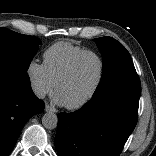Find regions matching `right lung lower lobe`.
I'll use <instances>...</instances> for the list:
<instances>
[{"label": "right lung lower lobe", "instance_id": "obj_1", "mask_svg": "<svg viewBox=\"0 0 156 156\" xmlns=\"http://www.w3.org/2000/svg\"><path fill=\"white\" fill-rule=\"evenodd\" d=\"M44 109L33 93L30 80L0 74V156L13 149L25 123Z\"/></svg>", "mask_w": 156, "mask_h": 156}]
</instances>
